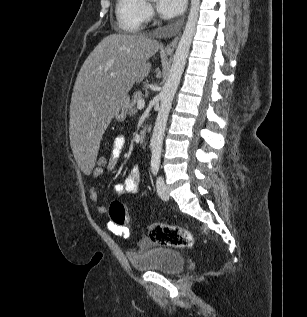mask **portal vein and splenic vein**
<instances>
[{
  "instance_id": "portal-vein-and-splenic-vein-1",
  "label": "portal vein and splenic vein",
  "mask_w": 307,
  "mask_h": 317,
  "mask_svg": "<svg viewBox=\"0 0 307 317\" xmlns=\"http://www.w3.org/2000/svg\"><path fill=\"white\" fill-rule=\"evenodd\" d=\"M144 106H145V101L144 100H139L138 102H137V108L138 109H143L144 108Z\"/></svg>"
}]
</instances>
